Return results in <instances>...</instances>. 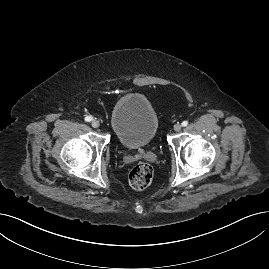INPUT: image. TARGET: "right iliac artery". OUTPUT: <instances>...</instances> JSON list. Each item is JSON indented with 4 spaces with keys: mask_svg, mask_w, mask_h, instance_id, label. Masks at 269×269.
I'll return each mask as SVG.
<instances>
[{
    "mask_svg": "<svg viewBox=\"0 0 269 269\" xmlns=\"http://www.w3.org/2000/svg\"><path fill=\"white\" fill-rule=\"evenodd\" d=\"M93 120V117L92 116H86L85 117V121L86 122H90V121H92Z\"/></svg>",
    "mask_w": 269,
    "mask_h": 269,
    "instance_id": "obj_1",
    "label": "right iliac artery"
}]
</instances>
